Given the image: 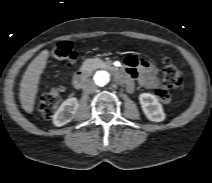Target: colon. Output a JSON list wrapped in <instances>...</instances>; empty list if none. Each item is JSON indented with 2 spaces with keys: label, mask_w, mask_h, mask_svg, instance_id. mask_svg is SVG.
Here are the masks:
<instances>
[{
  "label": "colon",
  "mask_w": 212,
  "mask_h": 183,
  "mask_svg": "<svg viewBox=\"0 0 212 183\" xmlns=\"http://www.w3.org/2000/svg\"><path fill=\"white\" fill-rule=\"evenodd\" d=\"M52 57L58 60L74 61L77 58V51L69 41L56 43L50 51ZM164 69L162 85L156 90V96L162 103H168L171 99L170 88H177L183 82L182 72L173 64L169 58L163 59ZM62 89L60 87L51 88L41 97L39 110L45 118H51L56 111L61 100Z\"/></svg>",
  "instance_id": "5ec220e1"
}]
</instances>
